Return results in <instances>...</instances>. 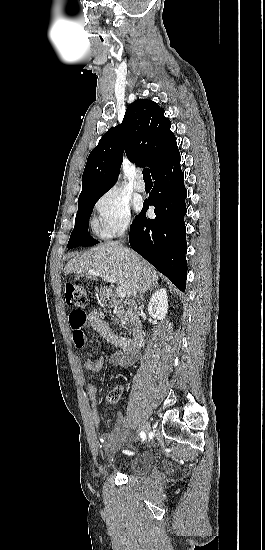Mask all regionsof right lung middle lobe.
I'll return each mask as SVG.
<instances>
[{"label": "right lung middle lobe", "mask_w": 265, "mask_h": 550, "mask_svg": "<svg viewBox=\"0 0 265 550\" xmlns=\"http://www.w3.org/2000/svg\"><path fill=\"white\" fill-rule=\"evenodd\" d=\"M100 197L78 199V212L75 218V227L67 245L68 249L98 243L88 235V224L93 207Z\"/></svg>", "instance_id": "obj_1"}]
</instances>
